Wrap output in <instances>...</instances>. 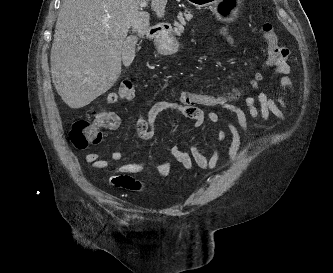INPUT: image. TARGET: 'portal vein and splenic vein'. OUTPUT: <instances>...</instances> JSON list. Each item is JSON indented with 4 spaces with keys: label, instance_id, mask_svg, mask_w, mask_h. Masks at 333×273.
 Listing matches in <instances>:
<instances>
[{
    "label": "portal vein and splenic vein",
    "instance_id": "18ae733b",
    "mask_svg": "<svg viewBox=\"0 0 333 273\" xmlns=\"http://www.w3.org/2000/svg\"><path fill=\"white\" fill-rule=\"evenodd\" d=\"M148 5L147 1H142L139 5L140 9H143L144 7H146Z\"/></svg>",
    "mask_w": 333,
    "mask_h": 273
}]
</instances>
